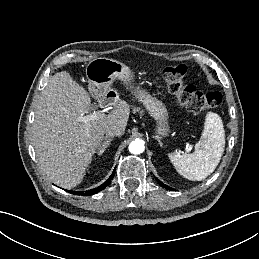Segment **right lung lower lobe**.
Returning <instances> with one entry per match:
<instances>
[{
    "instance_id": "right-lung-lower-lobe-1",
    "label": "right lung lower lobe",
    "mask_w": 259,
    "mask_h": 259,
    "mask_svg": "<svg viewBox=\"0 0 259 259\" xmlns=\"http://www.w3.org/2000/svg\"><path fill=\"white\" fill-rule=\"evenodd\" d=\"M114 175H115V169H114L112 175L106 180V182H104L102 185H100L97 188H94V189H91L88 191H81V192H76V191H68V192L75 194V195H84V196L94 195V194L100 192L101 190H103L104 188H106L111 183V180L113 179Z\"/></svg>"
}]
</instances>
